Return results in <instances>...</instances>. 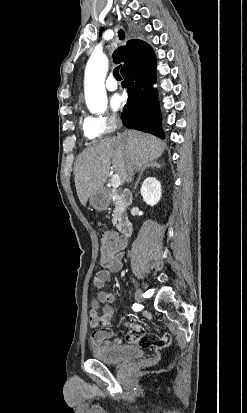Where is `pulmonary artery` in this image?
<instances>
[{
	"mask_svg": "<svg viewBox=\"0 0 247 413\" xmlns=\"http://www.w3.org/2000/svg\"><path fill=\"white\" fill-rule=\"evenodd\" d=\"M105 86H106V89H107L108 91L113 92V91H116V90L118 89V82H117V80H116L113 76H109V77L106 79V84H105Z\"/></svg>",
	"mask_w": 247,
	"mask_h": 413,
	"instance_id": "pulmonary-artery-1",
	"label": "pulmonary artery"
}]
</instances>
